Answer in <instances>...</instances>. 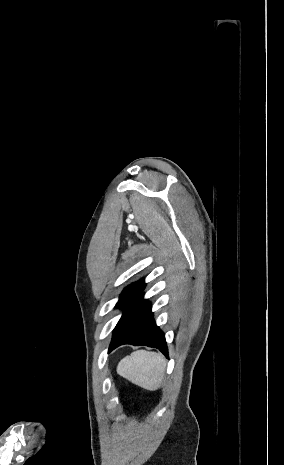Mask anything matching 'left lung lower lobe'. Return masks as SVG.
I'll list each match as a JSON object with an SVG mask.
<instances>
[{"label": "left lung lower lobe", "mask_w": 284, "mask_h": 465, "mask_svg": "<svg viewBox=\"0 0 284 465\" xmlns=\"http://www.w3.org/2000/svg\"><path fill=\"white\" fill-rule=\"evenodd\" d=\"M142 296L139 294L123 308V315L113 331L108 352L123 344L145 345L159 349L168 357L164 333L156 326L151 304Z\"/></svg>", "instance_id": "0a47b994"}]
</instances>
